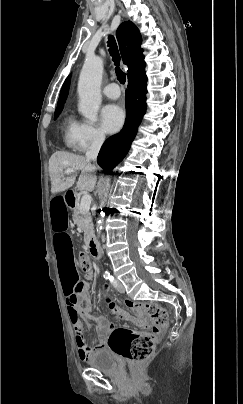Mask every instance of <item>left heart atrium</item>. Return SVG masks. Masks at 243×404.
<instances>
[{"mask_svg": "<svg viewBox=\"0 0 243 404\" xmlns=\"http://www.w3.org/2000/svg\"><path fill=\"white\" fill-rule=\"evenodd\" d=\"M124 111L115 104L109 103L100 111V126L103 132L112 134L118 131L124 123Z\"/></svg>", "mask_w": 243, "mask_h": 404, "instance_id": "1", "label": "left heart atrium"}]
</instances>
